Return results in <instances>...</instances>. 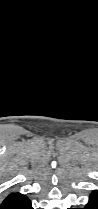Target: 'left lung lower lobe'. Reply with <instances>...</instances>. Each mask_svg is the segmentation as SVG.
Returning <instances> with one entry per match:
<instances>
[{
    "label": "left lung lower lobe",
    "instance_id": "0a47b994",
    "mask_svg": "<svg viewBox=\"0 0 98 209\" xmlns=\"http://www.w3.org/2000/svg\"><path fill=\"white\" fill-rule=\"evenodd\" d=\"M84 209H98V192L93 191L90 195L89 202Z\"/></svg>",
    "mask_w": 98,
    "mask_h": 209
}]
</instances>
